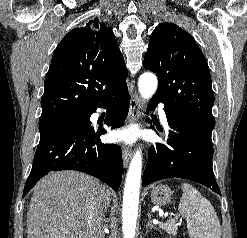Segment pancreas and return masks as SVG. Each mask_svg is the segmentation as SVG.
<instances>
[{
    "label": "pancreas",
    "mask_w": 247,
    "mask_h": 238,
    "mask_svg": "<svg viewBox=\"0 0 247 238\" xmlns=\"http://www.w3.org/2000/svg\"><path fill=\"white\" fill-rule=\"evenodd\" d=\"M159 228L166 231L170 235L175 236L177 234V225L174 220L159 223Z\"/></svg>",
    "instance_id": "1"
}]
</instances>
